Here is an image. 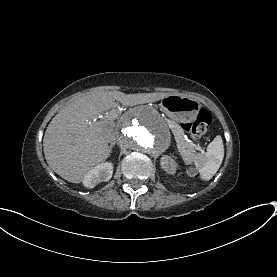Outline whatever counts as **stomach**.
<instances>
[{"label":"stomach","instance_id":"stomach-1","mask_svg":"<svg viewBox=\"0 0 277 277\" xmlns=\"http://www.w3.org/2000/svg\"><path fill=\"white\" fill-rule=\"evenodd\" d=\"M160 107L172 120L187 123L197 118L201 103L189 97L169 95L161 100Z\"/></svg>","mask_w":277,"mask_h":277}]
</instances>
